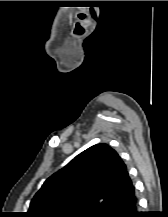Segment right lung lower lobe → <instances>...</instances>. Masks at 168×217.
<instances>
[{
	"label": "right lung lower lobe",
	"mask_w": 168,
	"mask_h": 217,
	"mask_svg": "<svg viewBox=\"0 0 168 217\" xmlns=\"http://www.w3.org/2000/svg\"><path fill=\"white\" fill-rule=\"evenodd\" d=\"M138 200L136 195L111 206L99 217H142V213L137 211Z\"/></svg>",
	"instance_id": "1"
}]
</instances>
